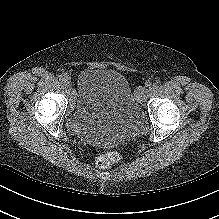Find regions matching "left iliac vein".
<instances>
[{
  "label": "left iliac vein",
  "mask_w": 219,
  "mask_h": 219,
  "mask_svg": "<svg viewBox=\"0 0 219 219\" xmlns=\"http://www.w3.org/2000/svg\"><path fill=\"white\" fill-rule=\"evenodd\" d=\"M151 91L145 87H138L136 91V99L138 102L143 103L149 97Z\"/></svg>",
  "instance_id": "4c4485c4"
}]
</instances>
